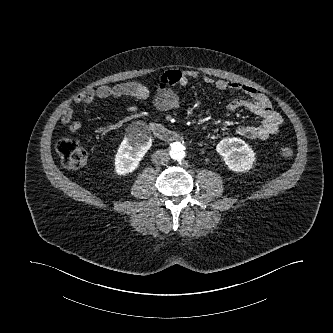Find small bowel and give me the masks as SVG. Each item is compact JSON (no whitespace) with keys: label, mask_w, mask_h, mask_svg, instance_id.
<instances>
[{"label":"small bowel","mask_w":333,"mask_h":333,"mask_svg":"<svg viewBox=\"0 0 333 333\" xmlns=\"http://www.w3.org/2000/svg\"><path fill=\"white\" fill-rule=\"evenodd\" d=\"M199 73L196 70H169L160 78V82L153 100V107L158 111H170L179 107L180 100L176 87H185L191 79L197 78ZM203 82L213 85L219 91H240L250 99H234L228 106L227 111L236 112L246 109L259 116L261 121L255 125H243L238 128V134L248 139L265 140L269 136L279 132L283 124L282 116L273 109L268 98L258 89L242 84L237 81L213 79L209 76L203 77ZM150 96L149 89L136 81L120 83L114 86H101L96 89L86 90L74 98L76 104H89L97 100L109 98L133 97L145 100ZM74 110L67 107L61 117V123L69 125L72 132H78L82 123L72 120Z\"/></svg>","instance_id":"1"}]
</instances>
